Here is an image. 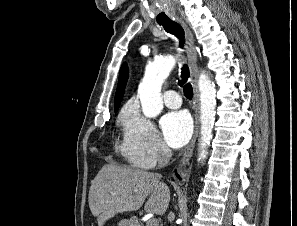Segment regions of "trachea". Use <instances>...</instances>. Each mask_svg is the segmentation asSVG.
Segmentation results:
<instances>
[{
  "label": "trachea",
  "mask_w": 297,
  "mask_h": 226,
  "mask_svg": "<svg viewBox=\"0 0 297 226\" xmlns=\"http://www.w3.org/2000/svg\"><path fill=\"white\" fill-rule=\"evenodd\" d=\"M159 24L163 26V28L165 29V31L167 33H170L179 39L180 47L184 46V43H185L184 30L178 23H176L174 21H168V22H162ZM188 78H189V68H188L187 64H184L181 69V80L179 81V85L181 87H183L185 96L188 99H192L193 88L190 83H187Z\"/></svg>",
  "instance_id": "1"
}]
</instances>
